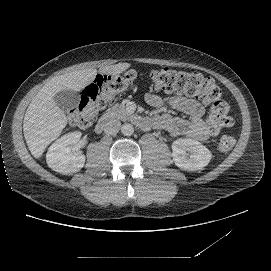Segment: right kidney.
<instances>
[{
	"label": "right kidney",
	"instance_id": "right-kidney-1",
	"mask_svg": "<svg viewBox=\"0 0 271 271\" xmlns=\"http://www.w3.org/2000/svg\"><path fill=\"white\" fill-rule=\"evenodd\" d=\"M81 137L82 131L78 130L56 139L46 153L48 166L63 174L79 171L85 163V156L76 148ZM70 146L74 147L71 149Z\"/></svg>",
	"mask_w": 271,
	"mask_h": 271
}]
</instances>
